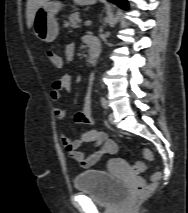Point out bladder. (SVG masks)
<instances>
[{
	"label": "bladder",
	"instance_id": "1",
	"mask_svg": "<svg viewBox=\"0 0 188 213\" xmlns=\"http://www.w3.org/2000/svg\"><path fill=\"white\" fill-rule=\"evenodd\" d=\"M77 191L88 195L102 206H115L127 193V184L115 179L107 171L89 169L78 173L74 178Z\"/></svg>",
	"mask_w": 188,
	"mask_h": 213
}]
</instances>
